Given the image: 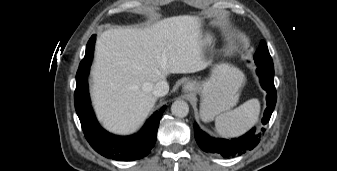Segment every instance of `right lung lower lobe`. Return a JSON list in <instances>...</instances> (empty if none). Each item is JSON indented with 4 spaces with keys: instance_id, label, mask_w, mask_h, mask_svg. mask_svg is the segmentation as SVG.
Wrapping results in <instances>:
<instances>
[{
    "instance_id": "obj_1",
    "label": "right lung lower lobe",
    "mask_w": 337,
    "mask_h": 171,
    "mask_svg": "<svg viewBox=\"0 0 337 171\" xmlns=\"http://www.w3.org/2000/svg\"><path fill=\"white\" fill-rule=\"evenodd\" d=\"M95 35L87 43L86 53L76 75L75 109L85 137L92 148L114 160L133 161L147 156L156 142L157 130L166 106L156 111L142 130L133 136H115L101 128L90 105L87 76L92 63Z\"/></svg>"
}]
</instances>
